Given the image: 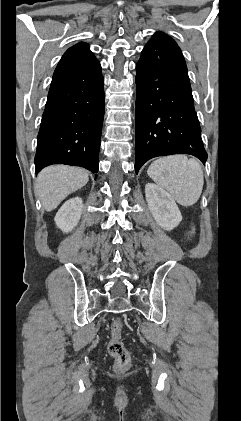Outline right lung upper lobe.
<instances>
[{
  "mask_svg": "<svg viewBox=\"0 0 241 421\" xmlns=\"http://www.w3.org/2000/svg\"><path fill=\"white\" fill-rule=\"evenodd\" d=\"M92 57H94V55L90 51L88 44L79 42L78 44L70 47L64 53V55L62 56L61 60L59 61L55 69V72L75 62L86 60Z\"/></svg>",
  "mask_w": 241,
  "mask_h": 421,
  "instance_id": "right-lung-upper-lobe-1",
  "label": "right lung upper lobe"
}]
</instances>
